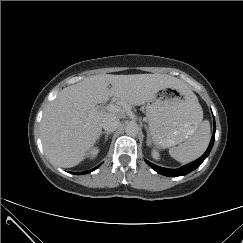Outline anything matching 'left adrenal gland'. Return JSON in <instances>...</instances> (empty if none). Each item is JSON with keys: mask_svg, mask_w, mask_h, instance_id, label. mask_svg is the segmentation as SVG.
<instances>
[{"mask_svg": "<svg viewBox=\"0 0 243 243\" xmlns=\"http://www.w3.org/2000/svg\"><path fill=\"white\" fill-rule=\"evenodd\" d=\"M147 129V127H146ZM147 144L149 145L150 144V135H149V131L147 129Z\"/></svg>", "mask_w": 243, "mask_h": 243, "instance_id": "left-adrenal-gland-1", "label": "left adrenal gland"}]
</instances>
